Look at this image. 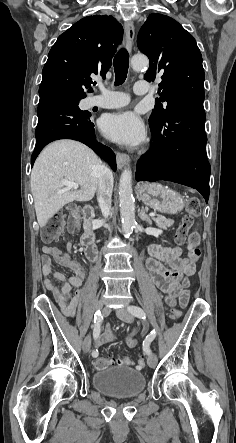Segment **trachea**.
<instances>
[{
    "label": "trachea",
    "mask_w": 236,
    "mask_h": 443,
    "mask_svg": "<svg viewBox=\"0 0 236 443\" xmlns=\"http://www.w3.org/2000/svg\"><path fill=\"white\" fill-rule=\"evenodd\" d=\"M115 71V85H122L126 78L129 68V54L124 48L120 49L113 61Z\"/></svg>",
    "instance_id": "obj_1"
}]
</instances>
